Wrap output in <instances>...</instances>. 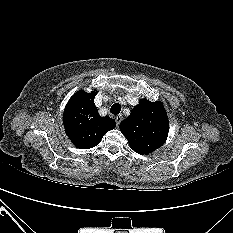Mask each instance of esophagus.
<instances>
[{
    "label": "esophagus",
    "instance_id": "esophagus-1",
    "mask_svg": "<svg viewBox=\"0 0 233 233\" xmlns=\"http://www.w3.org/2000/svg\"><path fill=\"white\" fill-rule=\"evenodd\" d=\"M115 120H116L117 126H119L120 122L122 121V116L121 115H117L116 118H115Z\"/></svg>",
    "mask_w": 233,
    "mask_h": 233
}]
</instances>
